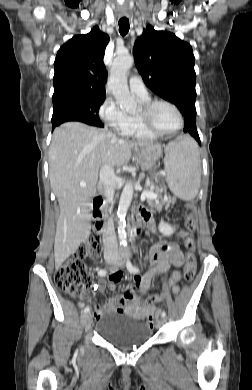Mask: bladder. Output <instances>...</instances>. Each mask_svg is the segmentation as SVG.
I'll use <instances>...</instances> for the list:
<instances>
[{"instance_id":"1","label":"bladder","mask_w":252,"mask_h":390,"mask_svg":"<svg viewBox=\"0 0 252 390\" xmlns=\"http://www.w3.org/2000/svg\"><path fill=\"white\" fill-rule=\"evenodd\" d=\"M94 331L108 343L124 350L140 347L152 336V329L146 322L129 317H101Z\"/></svg>"}]
</instances>
